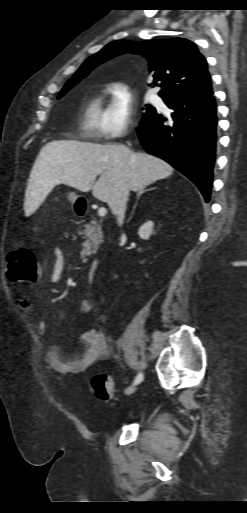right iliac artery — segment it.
Returning a JSON list of instances; mask_svg holds the SVG:
<instances>
[{
    "mask_svg": "<svg viewBox=\"0 0 247 513\" xmlns=\"http://www.w3.org/2000/svg\"><path fill=\"white\" fill-rule=\"evenodd\" d=\"M143 380V374L142 373H139L138 376L136 377V379L134 380V385H137L139 384L141 381Z\"/></svg>",
    "mask_w": 247,
    "mask_h": 513,
    "instance_id": "right-iliac-artery-1",
    "label": "right iliac artery"
}]
</instances>
